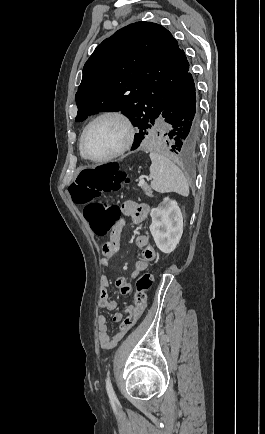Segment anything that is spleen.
<instances>
[{"label":"spleen","instance_id":"3e777b00","mask_svg":"<svg viewBox=\"0 0 265 434\" xmlns=\"http://www.w3.org/2000/svg\"><path fill=\"white\" fill-rule=\"evenodd\" d=\"M150 174L154 180L151 182L152 190L165 194V192H177L181 196H189V186L180 168H177L167 156L151 152Z\"/></svg>","mask_w":265,"mask_h":434}]
</instances>
